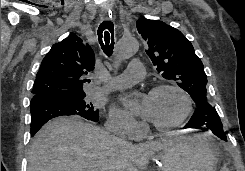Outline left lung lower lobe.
<instances>
[{
  "instance_id": "1",
  "label": "left lung lower lobe",
  "mask_w": 245,
  "mask_h": 171,
  "mask_svg": "<svg viewBox=\"0 0 245 171\" xmlns=\"http://www.w3.org/2000/svg\"><path fill=\"white\" fill-rule=\"evenodd\" d=\"M184 128H196L203 131L211 130L220 139L227 141L220 117L215 108L209 103H203L197 106L195 113Z\"/></svg>"
}]
</instances>
